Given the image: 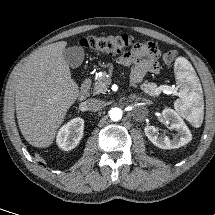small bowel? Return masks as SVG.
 Returning <instances> with one entry per match:
<instances>
[{"label":"small bowel","mask_w":215,"mask_h":215,"mask_svg":"<svg viewBox=\"0 0 215 215\" xmlns=\"http://www.w3.org/2000/svg\"><path fill=\"white\" fill-rule=\"evenodd\" d=\"M159 55L160 52L155 43H138L129 52L120 56L118 63L131 68L130 80L133 84H137L146 74L160 72Z\"/></svg>","instance_id":"c3829d8e"}]
</instances>
